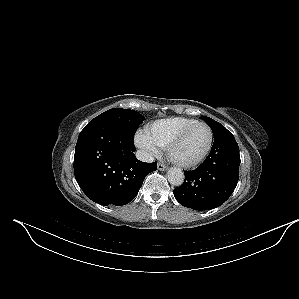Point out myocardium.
<instances>
[{
  "mask_svg": "<svg viewBox=\"0 0 299 299\" xmlns=\"http://www.w3.org/2000/svg\"><path fill=\"white\" fill-rule=\"evenodd\" d=\"M205 126L209 132V140H208V144L205 148V150L203 151V153L197 157L194 160L191 161H182L178 158L175 157L174 155V150L175 148L181 143V141L185 138V136L196 126ZM213 131L211 129V127L205 123V122H200L197 121L187 127H185L183 130H181L168 144L167 146V153L169 158L171 159L172 162H174L176 165L180 166V167H184V168H190V167H194L199 165L200 163H202L205 158L208 156V154L210 153L211 149H212V145H213Z\"/></svg>",
  "mask_w": 299,
  "mask_h": 299,
  "instance_id": "myocardium-1",
  "label": "myocardium"
}]
</instances>
